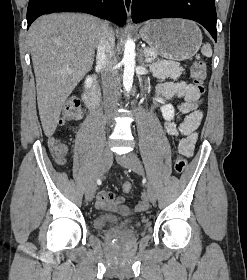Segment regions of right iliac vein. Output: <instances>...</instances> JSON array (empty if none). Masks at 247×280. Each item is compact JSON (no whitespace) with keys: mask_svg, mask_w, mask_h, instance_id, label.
Segmentation results:
<instances>
[{"mask_svg":"<svg viewBox=\"0 0 247 280\" xmlns=\"http://www.w3.org/2000/svg\"><path fill=\"white\" fill-rule=\"evenodd\" d=\"M112 160H113L112 152L109 149L104 150L99 162L96 175L86 190L85 197L87 201H91L94 198L96 188H97V180L107 172V170L110 168L112 164Z\"/></svg>","mask_w":247,"mask_h":280,"instance_id":"63e3f726","label":"right iliac vein"}]
</instances>
